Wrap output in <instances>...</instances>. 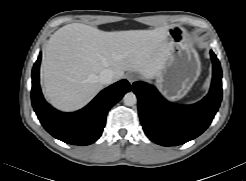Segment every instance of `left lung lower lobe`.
<instances>
[{
    "instance_id": "0a47b994",
    "label": "left lung lower lobe",
    "mask_w": 246,
    "mask_h": 181,
    "mask_svg": "<svg viewBox=\"0 0 246 181\" xmlns=\"http://www.w3.org/2000/svg\"><path fill=\"white\" fill-rule=\"evenodd\" d=\"M213 77L209 93L193 105L178 106L165 100L154 86L135 82L138 112L145 134L162 146L184 144L202 134L212 122L222 99L220 63L210 51Z\"/></svg>"
}]
</instances>
